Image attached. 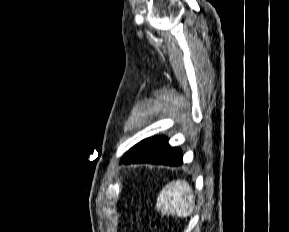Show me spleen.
<instances>
[{"instance_id":"spleen-1","label":"spleen","mask_w":289,"mask_h":232,"mask_svg":"<svg viewBox=\"0 0 289 232\" xmlns=\"http://www.w3.org/2000/svg\"><path fill=\"white\" fill-rule=\"evenodd\" d=\"M195 200L188 182L177 179L165 185L157 199V208L164 215L188 217L193 213Z\"/></svg>"}]
</instances>
